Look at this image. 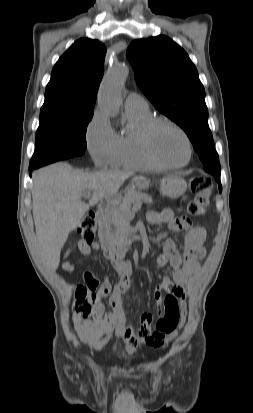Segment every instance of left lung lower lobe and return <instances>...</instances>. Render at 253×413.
Wrapping results in <instances>:
<instances>
[{
	"mask_svg": "<svg viewBox=\"0 0 253 413\" xmlns=\"http://www.w3.org/2000/svg\"><path fill=\"white\" fill-rule=\"evenodd\" d=\"M219 185L220 192L222 191L221 183H220V175H213Z\"/></svg>",
	"mask_w": 253,
	"mask_h": 413,
	"instance_id": "1",
	"label": "left lung lower lobe"
}]
</instances>
